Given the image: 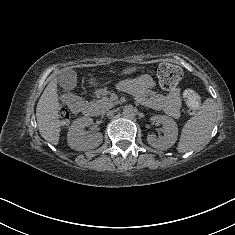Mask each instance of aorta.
Returning a JSON list of instances; mask_svg holds the SVG:
<instances>
[{"instance_id":"aorta-1","label":"aorta","mask_w":235,"mask_h":235,"mask_svg":"<svg viewBox=\"0 0 235 235\" xmlns=\"http://www.w3.org/2000/svg\"><path fill=\"white\" fill-rule=\"evenodd\" d=\"M122 113L125 117H131L134 114V108L131 105H125Z\"/></svg>"}]
</instances>
